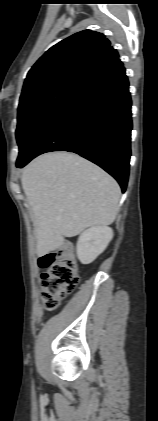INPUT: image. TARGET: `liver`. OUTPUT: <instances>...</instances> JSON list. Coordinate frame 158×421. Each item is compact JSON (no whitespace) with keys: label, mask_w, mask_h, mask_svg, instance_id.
Returning <instances> with one entry per match:
<instances>
[{"label":"liver","mask_w":158,"mask_h":421,"mask_svg":"<svg viewBox=\"0 0 158 421\" xmlns=\"http://www.w3.org/2000/svg\"><path fill=\"white\" fill-rule=\"evenodd\" d=\"M22 187L34 215L38 255L57 250L65 237L88 227L111 224L121 194L109 174L68 152L35 158L23 170Z\"/></svg>","instance_id":"liver-1"}]
</instances>
